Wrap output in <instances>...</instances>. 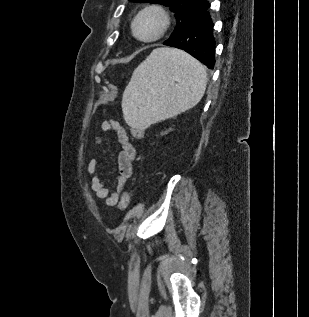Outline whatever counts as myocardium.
Segmentation results:
<instances>
[{
  "label": "myocardium",
  "instance_id": "myocardium-1",
  "mask_svg": "<svg viewBox=\"0 0 309 317\" xmlns=\"http://www.w3.org/2000/svg\"><path fill=\"white\" fill-rule=\"evenodd\" d=\"M147 15H152L158 20V27L156 31L148 37H144L139 32V22L141 19ZM170 26V17L166 10L158 5H150L143 8L138 14L135 16L132 24L133 33L136 38L143 42H153L160 39L165 32L168 30Z\"/></svg>",
  "mask_w": 309,
  "mask_h": 317
}]
</instances>
